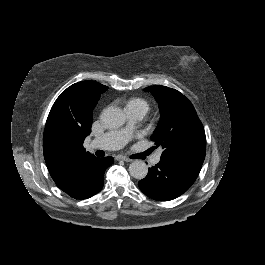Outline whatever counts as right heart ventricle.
I'll return each instance as SVG.
<instances>
[{"label":"right heart ventricle","instance_id":"e07e8e85","mask_svg":"<svg viewBox=\"0 0 265 265\" xmlns=\"http://www.w3.org/2000/svg\"><path fill=\"white\" fill-rule=\"evenodd\" d=\"M117 101L124 104L126 111L143 110L146 113L149 110L147 101L138 96L122 94L118 97Z\"/></svg>","mask_w":265,"mask_h":265}]
</instances>
